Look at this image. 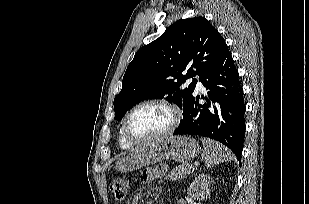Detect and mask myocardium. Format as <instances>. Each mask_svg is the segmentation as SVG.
I'll return each mask as SVG.
<instances>
[{"instance_id":"1","label":"myocardium","mask_w":309,"mask_h":204,"mask_svg":"<svg viewBox=\"0 0 309 204\" xmlns=\"http://www.w3.org/2000/svg\"><path fill=\"white\" fill-rule=\"evenodd\" d=\"M147 105H160L165 108H167L171 113V122L169 126L159 134H156L151 137L147 138H135L128 132V122L131 117V115L140 109L141 107L147 106ZM181 121V111L180 109L172 102L166 100V99H148L144 100L138 104H136L133 108L129 110V112L126 114L123 123H122V134L125 140L131 144V145H141V144H147L153 141L160 140L161 138H164L170 134H172L179 126Z\"/></svg>"}]
</instances>
